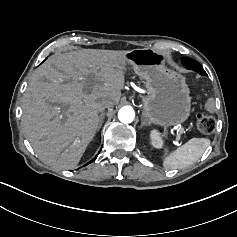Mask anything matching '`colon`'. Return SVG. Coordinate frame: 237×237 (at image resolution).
Returning a JSON list of instances; mask_svg holds the SVG:
<instances>
[{"mask_svg": "<svg viewBox=\"0 0 237 237\" xmlns=\"http://www.w3.org/2000/svg\"><path fill=\"white\" fill-rule=\"evenodd\" d=\"M216 107L214 100H209L207 103V108L212 110ZM197 129L203 134H210L215 130L216 121L214 117L210 115H199L196 122Z\"/></svg>", "mask_w": 237, "mask_h": 237, "instance_id": "obj_1", "label": "colon"}]
</instances>
